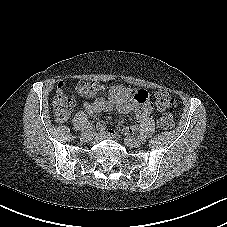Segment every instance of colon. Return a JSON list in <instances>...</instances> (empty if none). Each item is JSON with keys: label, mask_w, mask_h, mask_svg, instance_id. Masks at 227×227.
Listing matches in <instances>:
<instances>
[{"label": "colon", "mask_w": 227, "mask_h": 227, "mask_svg": "<svg viewBox=\"0 0 227 227\" xmlns=\"http://www.w3.org/2000/svg\"><path fill=\"white\" fill-rule=\"evenodd\" d=\"M75 90L82 97L92 98L100 91V84L95 81H82L77 84ZM154 98L156 105L165 111L159 119V127L163 130H167L173 125V117L170 110L175 106V100L165 90H157L154 94ZM74 103V97L64 90L62 84L59 85L53 99L54 117L58 123H64L69 119Z\"/></svg>", "instance_id": "obj_1"}]
</instances>
